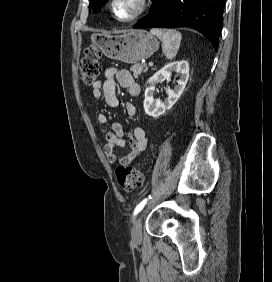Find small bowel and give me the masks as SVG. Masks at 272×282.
Here are the masks:
<instances>
[{"label": "small bowel", "mask_w": 272, "mask_h": 282, "mask_svg": "<svg viewBox=\"0 0 272 282\" xmlns=\"http://www.w3.org/2000/svg\"><path fill=\"white\" fill-rule=\"evenodd\" d=\"M117 84L123 87L131 97H137L140 93V86L135 83L132 75L126 69L109 67L105 71L104 78L93 85V97L104 98L105 102L111 108H116L119 104L116 96ZM125 111L128 116L132 117L136 113V107L133 103L125 105ZM97 120L101 124L108 122L106 115L98 114ZM107 141L104 146V153L110 164L129 165L145 151L148 145V138L143 128L137 127L130 135L128 152L118 157L115 150L117 147L125 146L124 128L121 123H113L112 131L104 132Z\"/></svg>", "instance_id": "small-bowel-1"}]
</instances>
